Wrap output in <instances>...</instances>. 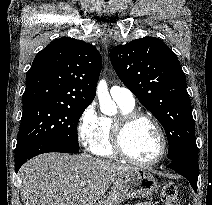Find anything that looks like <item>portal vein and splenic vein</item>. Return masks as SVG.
<instances>
[{
    "label": "portal vein and splenic vein",
    "mask_w": 212,
    "mask_h": 205,
    "mask_svg": "<svg viewBox=\"0 0 212 205\" xmlns=\"http://www.w3.org/2000/svg\"><path fill=\"white\" fill-rule=\"evenodd\" d=\"M87 183L86 182H81L80 186L84 187Z\"/></svg>",
    "instance_id": "1"
}]
</instances>
